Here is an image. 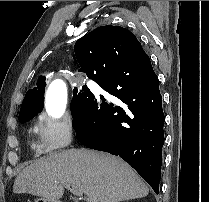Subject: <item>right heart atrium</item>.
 I'll return each mask as SVG.
<instances>
[{
  "instance_id": "1",
  "label": "right heart atrium",
  "mask_w": 209,
  "mask_h": 202,
  "mask_svg": "<svg viewBox=\"0 0 209 202\" xmlns=\"http://www.w3.org/2000/svg\"><path fill=\"white\" fill-rule=\"evenodd\" d=\"M35 145L41 152H54L67 147L73 140L74 128L69 118L54 119L41 114L36 120Z\"/></svg>"
}]
</instances>
